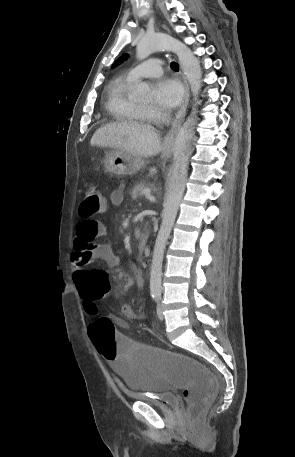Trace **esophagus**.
<instances>
[{"label":"esophagus","mask_w":295,"mask_h":457,"mask_svg":"<svg viewBox=\"0 0 295 457\" xmlns=\"http://www.w3.org/2000/svg\"><path fill=\"white\" fill-rule=\"evenodd\" d=\"M182 78H183V84H184V89H185L184 100H183L181 108L177 112V114L172 122V127L169 130V132L165 138L164 145H163L164 152L172 151V147H173V144L175 141V136L181 126L182 121L184 120V117L186 114V109H187L188 102H189V85L183 74H182Z\"/></svg>","instance_id":"esophagus-1"}]
</instances>
